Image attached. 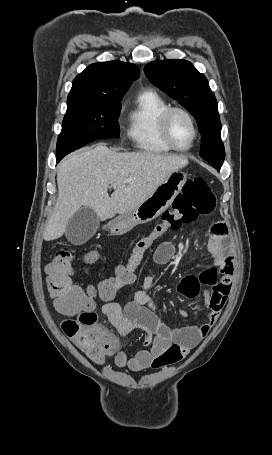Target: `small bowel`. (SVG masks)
<instances>
[{"label": "small bowel", "mask_w": 272, "mask_h": 455, "mask_svg": "<svg viewBox=\"0 0 272 455\" xmlns=\"http://www.w3.org/2000/svg\"><path fill=\"white\" fill-rule=\"evenodd\" d=\"M174 251L172 242H162L155 250V262L167 263ZM208 251L213 267L199 276L190 275L183 278L178 285V291L191 299L200 294L203 284L210 286V290L204 293L209 310L205 323L173 328L162 322L159 310L148 293L153 282L151 271L144 277L131 302L122 306L112 299L103 304V314L121 336L126 337L135 329L154 335L153 341L147 342L145 347L134 355L124 351L118 352L115 356V364L118 367L141 371L175 364L185 358L216 324L226 304L234 275V256L229 241V230L225 223L216 222L212 226ZM180 314L184 317L187 315L185 311H180Z\"/></svg>", "instance_id": "1"}]
</instances>
